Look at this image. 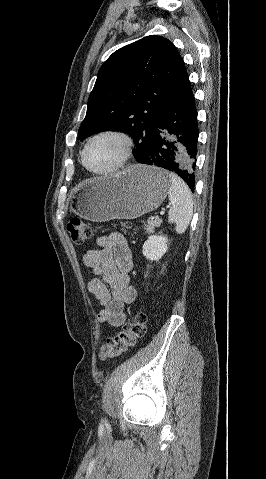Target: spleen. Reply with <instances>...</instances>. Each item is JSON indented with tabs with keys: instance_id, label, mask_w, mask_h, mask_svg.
Segmentation results:
<instances>
[{
	"instance_id": "1",
	"label": "spleen",
	"mask_w": 266,
	"mask_h": 479,
	"mask_svg": "<svg viewBox=\"0 0 266 479\" xmlns=\"http://www.w3.org/2000/svg\"><path fill=\"white\" fill-rule=\"evenodd\" d=\"M171 185L168 190L170 209L168 222L176 225L178 234L186 231L193 216V199L186 183L174 173L169 174Z\"/></svg>"
}]
</instances>
